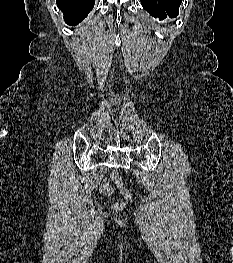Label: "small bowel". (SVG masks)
<instances>
[{"label":"small bowel","instance_id":"small-bowel-1","mask_svg":"<svg viewBox=\"0 0 233 263\" xmlns=\"http://www.w3.org/2000/svg\"><path fill=\"white\" fill-rule=\"evenodd\" d=\"M114 180V179H113ZM115 187L111 186L109 183V179L108 178H104L101 186H100V191L102 194L104 195H110L114 192Z\"/></svg>","mask_w":233,"mask_h":263}]
</instances>
